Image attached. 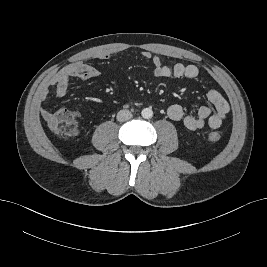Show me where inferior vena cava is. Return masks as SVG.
<instances>
[{"mask_svg": "<svg viewBox=\"0 0 267 267\" xmlns=\"http://www.w3.org/2000/svg\"><path fill=\"white\" fill-rule=\"evenodd\" d=\"M132 118V113L129 110L123 109L117 113V120L119 122L128 121Z\"/></svg>", "mask_w": 267, "mask_h": 267, "instance_id": "inferior-vena-cava-1", "label": "inferior vena cava"}]
</instances>
